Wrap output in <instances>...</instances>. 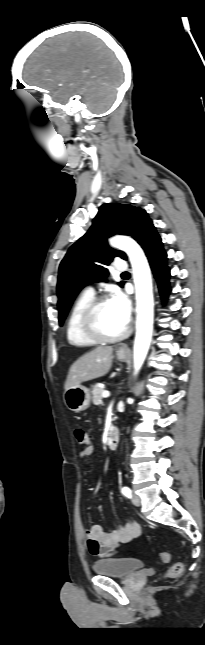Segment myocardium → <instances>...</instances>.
Segmentation results:
<instances>
[{
    "mask_svg": "<svg viewBox=\"0 0 205 645\" xmlns=\"http://www.w3.org/2000/svg\"><path fill=\"white\" fill-rule=\"evenodd\" d=\"M108 301L109 299L105 296L93 299L85 309L82 316V327L85 334L98 343L120 341L124 339L130 332V327L128 325L122 332L116 335H107L99 329L97 324L98 312L101 306Z\"/></svg>",
    "mask_w": 205,
    "mask_h": 645,
    "instance_id": "obj_1",
    "label": "myocardium"
}]
</instances>
